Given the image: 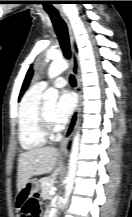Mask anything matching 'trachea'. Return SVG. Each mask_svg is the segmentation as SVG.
Segmentation results:
<instances>
[{
	"mask_svg": "<svg viewBox=\"0 0 132 217\" xmlns=\"http://www.w3.org/2000/svg\"><path fill=\"white\" fill-rule=\"evenodd\" d=\"M49 16L51 18V21L53 23V26L55 28L56 34L58 36L62 51L64 53V56L67 59H70L71 57V51H70V44H69V37H68V30L65 22L63 19L59 16L57 13H49ZM70 84L75 87L76 86V80L73 75L70 76Z\"/></svg>",
	"mask_w": 132,
	"mask_h": 217,
	"instance_id": "trachea-1",
	"label": "trachea"
}]
</instances>
